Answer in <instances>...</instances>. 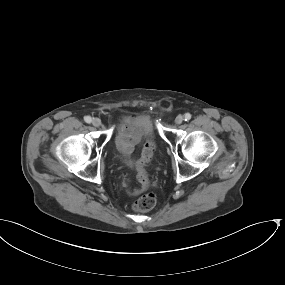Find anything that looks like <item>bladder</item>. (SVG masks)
<instances>
[{
  "instance_id": "obj_1",
  "label": "bladder",
  "mask_w": 285,
  "mask_h": 285,
  "mask_svg": "<svg viewBox=\"0 0 285 285\" xmlns=\"http://www.w3.org/2000/svg\"><path fill=\"white\" fill-rule=\"evenodd\" d=\"M127 132L130 135H135L138 133H142L144 135L150 134L152 135L153 133V127L151 120L148 116H139L136 117L135 119L131 120L128 127H127ZM114 143L121 155V158L123 161L130 166H133L135 164L136 158L134 156L133 152L130 153H124L123 148L119 143V133L115 134L114 136Z\"/></svg>"
}]
</instances>
